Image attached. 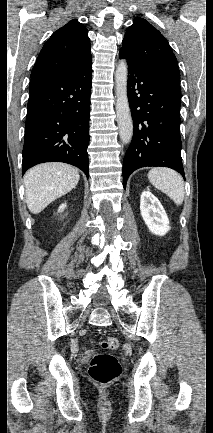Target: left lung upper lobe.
Returning a JSON list of instances; mask_svg holds the SVG:
<instances>
[{"label":"left lung upper lobe","instance_id":"left-lung-upper-lobe-1","mask_svg":"<svg viewBox=\"0 0 213 433\" xmlns=\"http://www.w3.org/2000/svg\"><path fill=\"white\" fill-rule=\"evenodd\" d=\"M120 54L147 74L180 90L178 62L166 38L143 18H135L122 42Z\"/></svg>","mask_w":213,"mask_h":433}]
</instances>
